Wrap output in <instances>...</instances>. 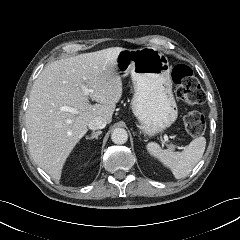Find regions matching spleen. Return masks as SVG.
Here are the masks:
<instances>
[{
	"instance_id": "spleen-1",
	"label": "spleen",
	"mask_w": 240,
	"mask_h": 240,
	"mask_svg": "<svg viewBox=\"0 0 240 240\" xmlns=\"http://www.w3.org/2000/svg\"><path fill=\"white\" fill-rule=\"evenodd\" d=\"M206 139L202 136L193 139L182 152L163 150L157 143L147 144V151L167 165L176 179L185 178L202 158Z\"/></svg>"
}]
</instances>
